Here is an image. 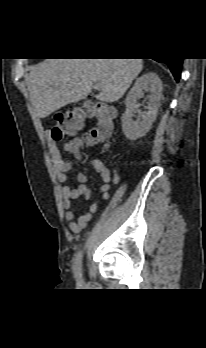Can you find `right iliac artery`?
<instances>
[{
	"label": "right iliac artery",
	"mask_w": 206,
	"mask_h": 348,
	"mask_svg": "<svg viewBox=\"0 0 206 348\" xmlns=\"http://www.w3.org/2000/svg\"><path fill=\"white\" fill-rule=\"evenodd\" d=\"M75 277L79 282L82 276V251H80L75 258L74 262Z\"/></svg>",
	"instance_id": "82829eb1"
}]
</instances>
